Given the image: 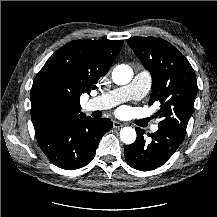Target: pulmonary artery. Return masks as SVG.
Here are the masks:
<instances>
[{
  "label": "pulmonary artery",
  "instance_id": "e3ab8cb5",
  "mask_svg": "<svg viewBox=\"0 0 217 217\" xmlns=\"http://www.w3.org/2000/svg\"><path fill=\"white\" fill-rule=\"evenodd\" d=\"M150 87V73L145 70L140 71L129 84L90 99L85 105V110H107L127 100H139L149 92ZM150 129L152 132H157L159 126L153 124Z\"/></svg>",
  "mask_w": 217,
  "mask_h": 217
}]
</instances>
